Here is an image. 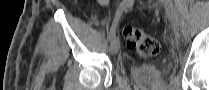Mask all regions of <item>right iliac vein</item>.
Instances as JSON below:
<instances>
[{"instance_id":"63e3f726","label":"right iliac vein","mask_w":209,"mask_h":90,"mask_svg":"<svg viewBox=\"0 0 209 90\" xmlns=\"http://www.w3.org/2000/svg\"><path fill=\"white\" fill-rule=\"evenodd\" d=\"M119 47H120L119 38L114 37L110 43V47H109L110 53L115 55L118 52Z\"/></svg>"}]
</instances>
